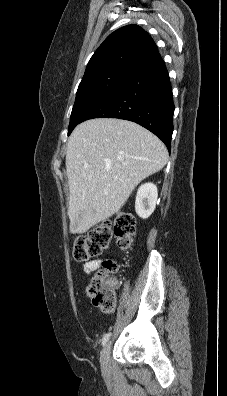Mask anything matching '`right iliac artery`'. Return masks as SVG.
Wrapping results in <instances>:
<instances>
[{"label":"right iliac artery","mask_w":227,"mask_h":396,"mask_svg":"<svg viewBox=\"0 0 227 396\" xmlns=\"http://www.w3.org/2000/svg\"><path fill=\"white\" fill-rule=\"evenodd\" d=\"M110 336H111V333L105 334V336H104L103 339H102V345H103V346H104V345L106 344V342L109 340Z\"/></svg>","instance_id":"82829eb1"}]
</instances>
